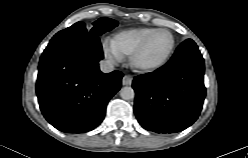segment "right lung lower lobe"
Instances as JSON below:
<instances>
[{"mask_svg": "<svg viewBox=\"0 0 248 158\" xmlns=\"http://www.w3.org/2000/svg\"><path fill=\"white\" fill-rule=\"evenodd\" d=\"M99 36L55 35L39 62L36 93L42 114L56 129L83 133L104 119L106 106L120 89L123 74H104Z\"/></svg>", "mask_w": 248, "mask_h": 158, "instance_id": "1", "label": "right lung lower lobe"}]
</instances>
